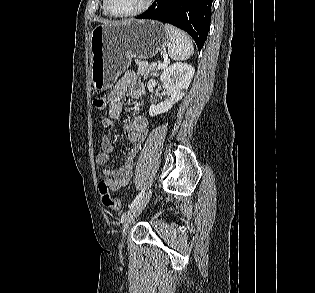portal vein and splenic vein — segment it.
Instances as JSON below:
<instances>
[{
  "mask_svg": "<svg viewBox=\"0 0 315 293\" xmlns=\"http://www.w3.org/2000/svg\"><path fill=\"white\" fill-rule=\"evenodd\" d=\"M154 66L158 67L159 69L162 68V65L157 64V63H153Z\"/></svg>",
  "mask_w": 315,
  "mask_h": 293,
  "instance_id": "portal-vein-and-splenic-vein-1",
  "label": "portal vein and splenic vein"
}]
</instances>
